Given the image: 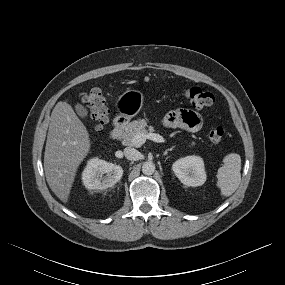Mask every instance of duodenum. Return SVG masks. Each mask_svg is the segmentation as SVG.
I'll return each instance as SVG.
<instances>
[{"instance_id": "410a0bca", "label": "duodenum", "mask_w": 285, "mask_h": 285, "mask_svg": "<svg viewBox=\"0 0 285 285\" xmlns=\"http://www.w3.org/2000/svg\"><path fill=\"white\" fill-rule=\"evenodd\" d=\"M125 125H126V120H124L123 118H117L114 121V125L109 133V136L112 139L120 138L125 128Z\"/></svg>"}]
</instances>
